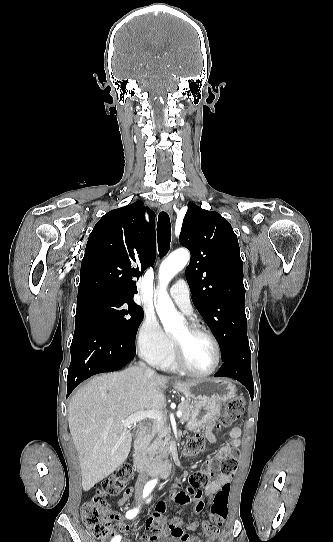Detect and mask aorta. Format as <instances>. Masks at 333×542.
<instances>
[{
    "label": "aorta",
    "mask_w": 333,
    "mask_h": 542,
    "mask_svg": "<svg viewBox=\"0 0 333 542\" xmlns=\"http://www.w3.org/2000/svg\"><path fill=\"white\" fill-rule=\"evenodd\" d=\"M189 252L187 250H176L162 262L159 270V290L155 302L156 312L163 324L165 332L172 334L175 328H183V316L178 314L166 288L168 282L183 270L189 262ZM158 482V480H154Z\"/></svg>",
    "instance_id": "aorta-1"
}]
</instances>
